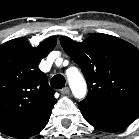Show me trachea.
<instances>
[{
	"instance_id": "obj_1",
	"label": "trachea",
	"mask_w": 139,
	"mask_h": 139,
	"mask_svg": "<svg viewBox=\"0 0 139 139\" xmlns=\"http://www.w3.org/2000/svg\"><path fill=\"white\" fill-rule=\"evenodd\" d=\"M50 84L55 89H61L65 86V78L63 75L57 74L52 77Z\"/></svg>"
}]
</instances>
